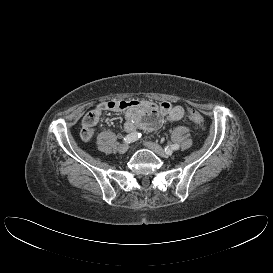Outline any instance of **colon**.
<instances>
[{
	"mask_svg": "<svg viewBox=\"0 0 273 273\" xmlns=\"http://www.w3.org/2000/svg\"><path fill=\"white\" fill-rule=\"evenodd\" d=\"M188 117L198 127L202 128L204 126L205 123L204 118L198 111L194 109H189Z\"/></svg>",
	"mask_w": 273,
	"mask_h": 273,
	"instance_id": "colon-1",
	"label": "colon"
}]
</instances>
